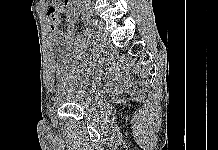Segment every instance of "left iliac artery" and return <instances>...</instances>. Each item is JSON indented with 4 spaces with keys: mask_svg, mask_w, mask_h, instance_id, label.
I'll list each match as a JSON object with an SVG mask.
<instances>
[{
    "mask_svg": "<svg viewBox=\"0 0 218 150\" xmlns=\"http://www.w3.org/2000/svg\"><path fill=\"white\" fill-rule=\"evenodd\" d=\"M88 28L90 29L91 32H95V28L93 27V20L92 19H89L88 20Z\"/></svg>",
    "mask_w": 218,
    "mask_h": 150,
    "instance_id": "1",
    "label": "left iliac artery"
}]
</instances>
